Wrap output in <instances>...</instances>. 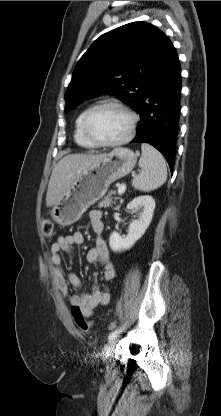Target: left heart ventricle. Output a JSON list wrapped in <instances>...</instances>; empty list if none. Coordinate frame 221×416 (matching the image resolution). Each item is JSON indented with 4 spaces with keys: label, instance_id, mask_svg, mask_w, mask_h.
Wrapping results in <instances>:
<instances>
[{
    "label": "left heart ventricle",
    "instance_id": "obj_1",
    "mask_svg": "<svg viewBox=\"0 0 221 416\" xmlns=\"http://www.w3.org/2000/svg\"><path fill=\"white\" fill-rule=\"evenodd\" d=\"M128 127V115L114 106L101 108L90 121V131L102 141H115L122 138L127 133Z\"/></svg>",
    "mask_w": 221,
    "mask_h": 416
}]
</instances>
